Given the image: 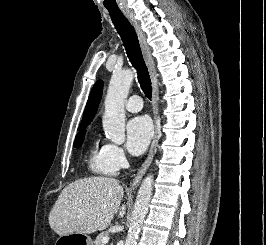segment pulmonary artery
<instances>
[{
	"mask_svg": "<svg viewBox=\"0 0 266 245\" xmlns=\"http://www.w3.org/2000/svg\"><path fill=\"white\" fill-rule=\"evenodd\" d=\"M142 100V96H129V100L125 102L124 107L129 112H139L143 107L141 103Z\"/></svg>",
	"mask_w": 266,
	"mask_h": 245,
	"instance_id": "1",
	"label": "pulmonary artery"
}]
</instances>
